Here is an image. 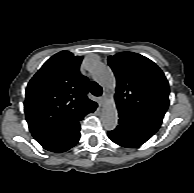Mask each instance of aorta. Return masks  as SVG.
<instances>
[{"label":"aorta","mask_w":194,"mask_h":193,"mask_svg":"<svg viewBox=\"0 0 194 193\" xmlns=\"http://www.w3.org/2000/svg\"><path fill=\"white\" fill-rule=\"evenodd\" d=\"M89 72L92 78L101 86L110 89L115 86V77L112 70L99 62H91ZM101 121L106 130H113L117 126L118 112L114 103H107L101 112Z\"/></svg>","instance_id":"1"}]
</instances>
